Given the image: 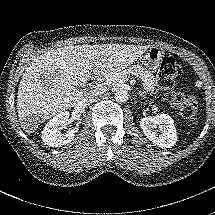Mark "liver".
Instances as JSON below:
<instances>
[{
	"label": "liver",
	"mask_w": 215,
	"mask_h": 215,
	"mask_svg": "<svg viewBox=\"0 0 215 215\" xmlns=\"http://www.w3.org/2000/svg\"><path fill=\"white\" fill-rule=\"evenodd\" d=\"M147 46L106 43L65 45L32 59L17 91L19 124L27 134L83 97L81 86L91 77L121 71L140 58Z\"/></svg>",
	"instance_id": "6515ba94"
}]
</instances>
